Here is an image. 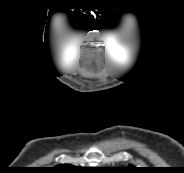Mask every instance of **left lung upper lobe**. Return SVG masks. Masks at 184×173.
<instances>
[{
	"instance_id": "1",
	"label": "left lung upper lobe",
	"mask_w": 184,
	"mask_h": 173,
	"mask_svg": "<svg viewBox=\"0 0 184 173\" xmlns=\"http://www.w3.org/2000/svg\"><path fill=\"white\" fill-rule=\"evenodd\" d=\"M130 169H135L134 166H130Z\"/></svg>"
}]
</instances>
